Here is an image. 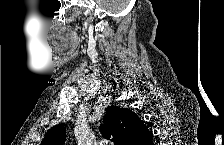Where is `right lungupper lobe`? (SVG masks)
Masks as SVG:
<instances>
[{
	"label": "right lung upper lobe",
	"mask_w": 224,
	"mask_h": 145,
	"mask_svg": "<svg viewBox=\"0 0 224 145\" xmlns=\"http://www.w3.org/2000/svg\"><path fill=\"white\" fill-rule=\"evenodd\" d=\"M100 132L116 145H148L152 139V133L134 112L116 106L107 107ZM65 137V129L55 125L47 132L41 145H60L65 142Z\"/></svg>",
	"instance_id": "right-lung-upper-lobe-1"
}]
</instances>
